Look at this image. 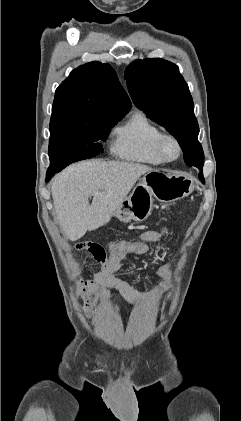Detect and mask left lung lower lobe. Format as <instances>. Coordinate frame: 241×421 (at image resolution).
Listing matches in <instances>:
<instances>
[{"mask_svg": "<svg viewBox=\"0 0 241 421\" xmlns=\"http://www.w3.org/2000/svg\"><path fill=\"white\" fill-rule=\"evenodd\" d=\"M188 166H194V165H192V164H190V163H186ZM200 169V168H199ZM199 178H200V180L202 181V182H204V178H203V174H202V172H200L199 173Z\"/></svg>", "mask_w": 241, "mask_h": 421, "instance_id": "obj_1", "label": "left lung lower lobe"}]
</instances>
